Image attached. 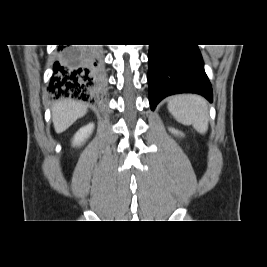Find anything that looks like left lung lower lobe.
Segmentation results:
<instances>
[{"mask_svg":"<svg viewBox=\"0 0 267 267\" xmlns=\"http://www.w3.org/2000/svg\"><path fill=\"white\" fill-rule=\"evenodd\" d=\"M149 102L152 110L165 97L197 93L212 102V87L197 45H150Z\"/></svg>","mask_w":267,"mask_h":267,"instance_id":"0a47b994","label":"left lung lower lobe"}]
</instances>
